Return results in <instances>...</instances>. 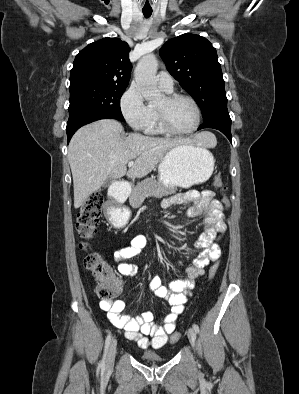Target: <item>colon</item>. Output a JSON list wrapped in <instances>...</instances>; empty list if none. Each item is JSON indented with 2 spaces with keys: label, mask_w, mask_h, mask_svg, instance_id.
Instances as JSON below:
<instances>
[{
  "label": "colon",
  "mask_w": 299,
  "mask_h": 394,
  "mask_svg": "<svg viewBox=\"0 0 299 394\" xmlns=\"http://www.w3.org/2000/svg\"><path fill=\"white\" fill-rule=\"evenodd\" d=\"M213 185L223 193V204L228 208L229 201L225 195L226 186L220 175L215 176ZM104 202L101 193H93L82 205L77 216V230L84 239L81 244L86 251L84 258L85 268L90 271L95 278L96 293L104 301H112L120 293L122 288L121 280L115 275L112 267L104 259L103 255L91 249L89 240L93 238L101 216V208ZM218 271V263H214L209 270V278L213 279ZM180 338V333L171 335V342L176 343Z\"/></svg>",
  "instance_id": "1"
}]
</instances>
